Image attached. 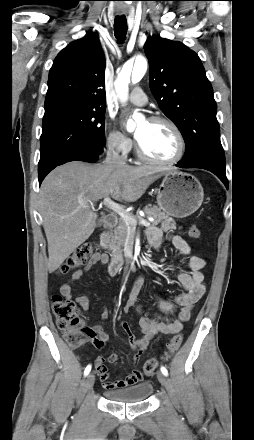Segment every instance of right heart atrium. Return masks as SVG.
I'll use <instances>...</instances> for the list:
<instances>
[{"label": "right heart atrium", "instance_id": "obj_1", "mask_svg": "<svg viewBox=\"0 0 254 440\" xmlns=\"http://www.w3.org/2000/svg\"><path fill=\"white\" fill-rule=\"evenodd\" d=\"M106 143L110 150L127 156L133 149V141L126 134L115 128L109 129Z\"/></svg>", "mask_w": 254, "mask_h": 440}]
</instances>
